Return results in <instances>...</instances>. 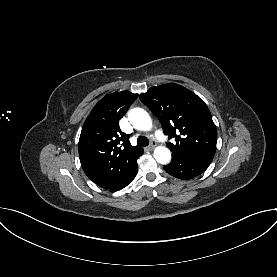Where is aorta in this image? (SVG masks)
Masks as SVG:
<instances>
[{
  "label": "aorta",
  "instance_id": "aorta-1",
  "mask_svg": "<svg viewBox=\"0 0 277 277\" xmlns=\"http://www.w3.org/2000/svg\"><path fill=\"white\" fill-rule=\"evenodd\" d=\"M128 119L136 129L149 130L152 127V120L149 114L142 108L131 109L128 113ZM154 158L160 164H167L171 159L170 150L164 146L156 147Z\"/></svg>",
  "mask_w": 277,
  "mask_h": 277
}]
</instances>
